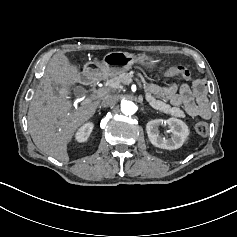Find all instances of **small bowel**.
<instances>
[{"label":"small bowel","instance_id":"obj_1","mask_svg":"<svg viewBox=\"0 0 237 237\" xmlns=\"http://www.w3.org/2000/svg\"><path fill=\"white\" fill-rule=\"evenodd\" d=\"M167 76L176 75L174 69L166 73ZM148 90L155 96L169 100L175 107H182L191 117L209 119L211 108L207 98V85L204 80H193L192 87L186 84H174L169 87H160L154 84L148 85Z\"/></svg>","mask_w":237,"mask_h":237}]
</instances>
